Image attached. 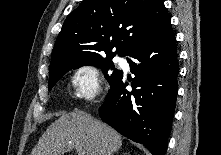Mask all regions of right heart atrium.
Here are the masks:
<instances>
[{
	"label": "right heart atrium",
	"mask_w": 221,
	"mask_h": 155,
	"mask_svg": "<svg viewBox=\"0 0 221 155\" xmlns=\"http://www.w3.org/2000/svg\"><path fill=\"white\" fill-rule=\"evenodd\" d=\"M71 83L76 99L80 101H93L103 90L102 77L96 67L82 65L74 70Z\"/></svg>",
	"instance_id": "obj_1"
}]
</instances>
